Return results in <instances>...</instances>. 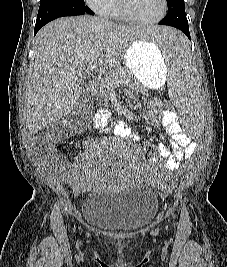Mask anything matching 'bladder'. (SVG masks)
<instances>
[{"label":"bladder","mask_w":227,"mask_h":267,"mask_svg":"<svg viewBox=\"0 0 227 267\" xmlns=\"http://www.w3.org/2000/svg\"><path fill=\"white\" fill-rule=\"evenodd\" d=\"M158 211L155 193L146 187L123 191L94 190L82 204L87 224L109 231H129L150 222Z\"/></svg>","instance_id":"bladder-1"}]
</instances>
